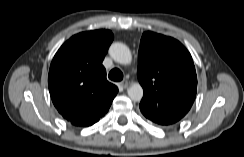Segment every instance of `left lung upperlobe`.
<instances>
[{
  "mask_svg": "<svg viewBox=\"0 0 244 157\" xmlns=\"http://www.w3.org/2000/svg\"><path fill=\"white\" fill-rule=\"evenodd\" d=\"M138 80L144 95L142 114L159 125H171L190 110L197 91L192 57L176 39L144 32L138 56Z\"/></svg>",
  "mask_w": 244,
  "mask_h": 157,
  "instance_id": "left-lung-upper-lobe-1",
  "label": "left lung upper lobe"
}]
</instances>
